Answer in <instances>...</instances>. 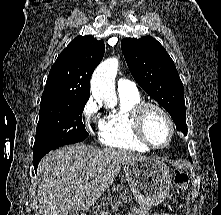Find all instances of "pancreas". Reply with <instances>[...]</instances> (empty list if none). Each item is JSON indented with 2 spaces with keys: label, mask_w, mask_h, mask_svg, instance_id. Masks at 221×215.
<instances>
[{
  "label": "pancreas",
  "mask_w": 221,
  "mask_h": 215,
  "mask_svg": "<svg viewBox=\"0 0 221 215\" xmlns=\"http://www.w3.org/2000/svg\"><path fill=\"white\" fill-rule=\"evenodd\" d=\"M114 193H116V197L118 198L116 200ZM114 201V205L112 202ZM133 201V198L131 194L129 193V189L123 185H118L116 187L112 188V192H108V196L102 198L101 202L95 207V211L93 215H97V211H99L102 207L104 210L108 207H111V209H115L117 206L122 204L131 203ZM102 215H109V212L107 211L106 214Z\"/></svg>",
  "instance_id": "obj_1"
}]
</instances>
